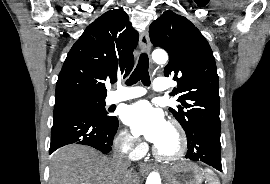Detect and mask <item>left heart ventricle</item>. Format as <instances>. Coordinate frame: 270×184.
<instances>
[{
    "instance_id": "obj_1",
    "label": "left heart ventricle",
    "mask_w": 270,
    "mask_h": 184,
    "mask_svg": "<svg viewBox=\"0 0 270 184\" xmlns=\"http://www.w3.org/2000/svg\"><path fill=\"white\" fill-rule=\"evenodd\" d=\"M156 146L165 154L174 153L178 146L175 132L169 127L163 139Z\"/></svg>"
}]
</instances>
